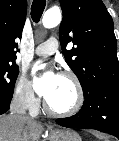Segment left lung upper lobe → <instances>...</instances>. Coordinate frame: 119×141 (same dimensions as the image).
Masks as SVG:
<instances>
[{"instance_id": "1", "label": "left lung upper lobe", "mask_w": 119, "mask_h": 141, "mask_svg": "<svg viewBox=\"0 0 119 141\" xmlns=\"http://www.w3.org/2000/svg\"><path fill=\"white\" fill-rule=\"evenodd\" d=\"M59 28L65 60L78 77L84 96L109 82H119L113 20L101 0H60ZM69 42L75 47L66 50Z\"/></svg>"}]
</instances>
